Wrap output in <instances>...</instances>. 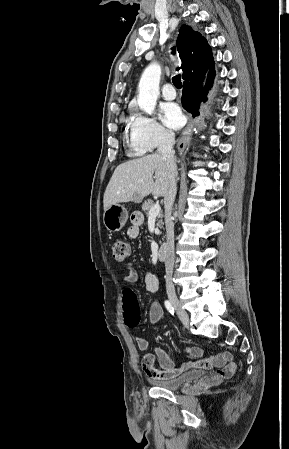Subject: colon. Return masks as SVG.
Returning <instances> with one entry per match:
<instances>
[{
	"label": "colon",
	"mask_w": 289,
	"mask_h": 449,
	"mask_svg": "<svg viewBox=\"0 0 289 449\" xmlns=\"http://www.w3.org/2000/svg\"><path fill=\"white\" fill-rule=\"evenodd\" d=\"M112 254L116 261H124L130 255L129 245L120 239L114 240L112 244ZM123 308L125 311L126 322L129 326H135L139 319V308L140 303L132 289H127L125 291V298L123 303Z\"/></svg>",
	"instance_id": "1"
}]
</instances>
